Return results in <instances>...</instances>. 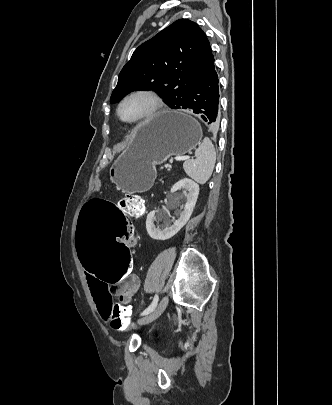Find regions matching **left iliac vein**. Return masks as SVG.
<instances>
[{"instance_id":"left-iliac-vein-1","label":"left iliac vein","mask_w":332,"mask_h":405,"mask_svg":"<svg viewBox=\"0 0 332 405\" xmlns=\"http://www.w3.org/2000/svg\"><path fill=\"white\" fill-rule=\"evenodd\" d=\"M169 299L167 296H164L161 301L159 302L158 306L156 309H154L150 314L146 315L145 317L140 318L137 321L138 325H145L148 324L154 320H156L166 309L168 305Z\"/></svg>"}]
</instances>
